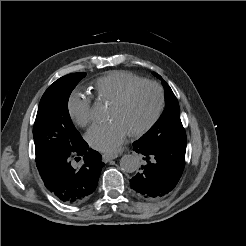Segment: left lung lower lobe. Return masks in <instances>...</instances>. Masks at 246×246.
Returning <instances> with one entry per match:
<instances>
[{"mask_svg":"<svg viewBox=\"0 0 246 246\" xmlns=\"http://www.w3.org/2000/svg\"><path fill=\"white\" fill-rule=\"evenodd\" d=\"M133 146L145 162L130 180L131 188L145 199L164 197L174 189L183 173L186 144H151L139 139Z\"/></svg>","mask_w":246,"mask_h":246,"instance_id":"1","label":"left lung lower lobe"}]
</instances>
